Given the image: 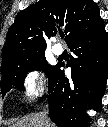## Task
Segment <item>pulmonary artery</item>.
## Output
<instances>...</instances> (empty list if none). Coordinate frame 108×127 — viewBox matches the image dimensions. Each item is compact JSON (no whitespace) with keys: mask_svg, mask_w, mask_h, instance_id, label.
Listing matches in <instances>:
<instances>
[{"mask_svg":"<svg viewBox=\"0 0 108 127\" xmlns=\"http://www.w3.org/2000/svg\"><path fill=\"white\" fill-rule=\"evenodd\" d=\"M52 51L55 55L59 56L63 53V48L59 44H56L52 47Z\"/></svg>","mask_w":108,"mask_h":127,"instance_id":"e3ab8cb5","label":"pulmonary artery"}]
</instances>
